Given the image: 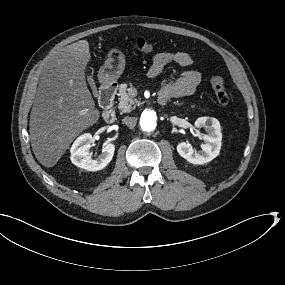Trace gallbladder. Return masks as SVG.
I'll return each mask as SVG.
<instances>
[{
  "instance_id": "bac80fb5",
  "label": "gallbladder",
  "mask_w": 285,
  "mask_h": 285,
  "mask_svg": "<svg viewBox=\"0 0 285 285\" xmlns=\"http://www.w3.org/2000/svg\"><path fill=\"white\" fill-rule=\"evenodd\" d=\"M88 81H92V76H87Z\"/></svg>"
}]
</instances>
